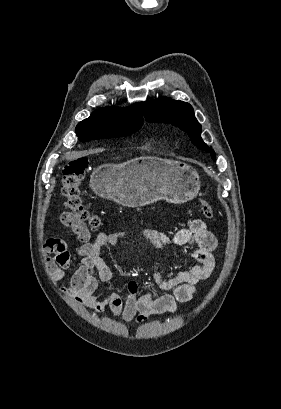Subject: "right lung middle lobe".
<instances>
[{"instance_id": "dd1d6c3e", "label": "right lung middle lobe", "mask_w": 281, "mask_h": 409, "mask_svg": "<svg viewBox=\"0 0 281 409\" xmlns=\"http://www.w3.org/2000/svg\"><path fill=\"white\" fill-rule=\"evenodd\" d=\"M141 127L142 125L129 127H80L76 128V134L79 140L84 142L92 139L128 136Z\"/></svg>"}]
</instances>
